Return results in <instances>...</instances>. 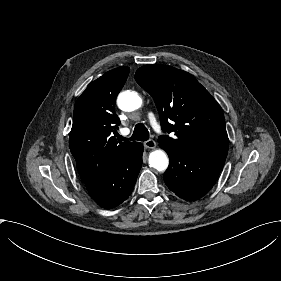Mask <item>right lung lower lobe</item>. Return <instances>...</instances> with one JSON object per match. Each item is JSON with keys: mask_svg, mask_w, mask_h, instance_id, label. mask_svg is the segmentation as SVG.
I'll use <instances>...</instances> for the list:
<instances>
[{"mask_svg": "<svg viewBox=\"0 0 281 281\" xmlns=\"http://www.w3.org/2000/svg\"><path fill=\"white\" fill-rule=\"evenodd\" d=\"M142 154L143 145L137 142L110 172L84 183L99 206L111 209L129 197L142 166Z\"/></svg>", "mask_w": 281, "mask_h": 281, "instance_id": "98d812e1", "label": "right lung lower lobe"}]
</instances>
